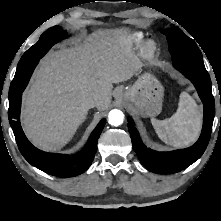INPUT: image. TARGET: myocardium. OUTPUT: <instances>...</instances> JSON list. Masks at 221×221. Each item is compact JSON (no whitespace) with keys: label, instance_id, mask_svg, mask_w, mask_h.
Masks as SVG:
<instances>
[{"label":"myocardium","instance_id":"obj_1","mask_svg":"<svg viewBox=\"0 0 221 221\" xmlns=\"http://www.w3.org/2000/svg\"><path fill=\"white\" fill-rule=\"evenodd\" d=\"M156 51V44L153 41H148L144 47V52L146 56H152Z\"/></svg>","mask_w":221,"mask_h":221}]
</instances>
